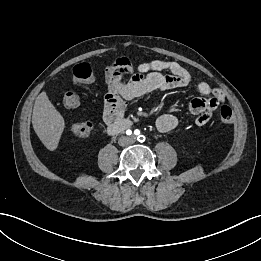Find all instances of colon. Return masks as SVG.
I'll list each match as a JSON object with an SVG mask.
<instances>
[{"label": "colon", "instance_id": "1", "mask_svg": "<svg viewBox=\"0 0 261 261\" xmlns=\"http://www.w3.org/2000/svg\"><path fill=\"white\" fill-rule=\"evenodd\" d=\"M117 61L125 66L131 68V62L126 57H121ZM93 80V71L88 63L77 64L73 69V82L75 85H85ZM79 93L77 90H71L64 96V104L67 107H75L79 103ZM220 120L224 124H231L234 120L232 109L224 105L220 108ZM71 131L77 137H87L92 131V124L89 121L73 122L71 123Z\"/></svg>", "mask_w": 261, "mask_h": 261}]
</instances>
